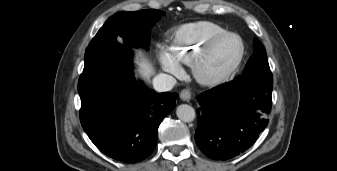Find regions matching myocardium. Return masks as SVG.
<instances>
[{"instance_id": "obj_1", "label": "myocardium", "mask_w": 337, "mask_h": 171, "mask_svg": "<svg viewBox=\"0 0 337 171\" xmlns=\"http://www.w3.org/2000/svg\"><path fill=\"white\" fill-rule=\"evenodd\" d=\"M228 38H236L239 42L240 52L236 61L222 74L217 76L208 75L204 71V64L214 48ZM245 57V44L241 36L234 32H225L209 40L197 53L191 65L194 79L203 86L218 87L227 83L241 66Z\"/></svg>"}]
</instances>
